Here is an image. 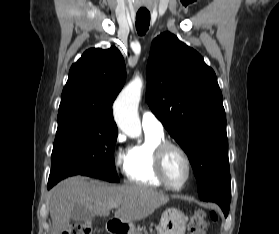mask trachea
<instances>
[{
  "mask_svg": "<svg viewBox=\"0 0 279 234\" xmlns=\"http://www.w3.org/2000/svg\"><path fill=\"white\" fill-rule=\"evenodd\" d=\"M150 24L149 12H137L136 14V29L139 35H144Z\"/></svg>",
  "mask_w": 279,
  "mask_h": 234,
  "instance_id": "trachea-1",
  "label": "trachea"
}]
</instances>
